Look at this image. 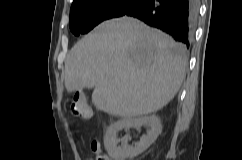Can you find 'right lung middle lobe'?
<instances>
[{
	"label": "right lung middle lobe",
	"mask_w": 242,
	"mask_h": 160,
	"mask_svg": "<svg viewBox=\"0 0 242 160\" xmlns=\"http://www.w3.org/2000/svg\"><path fill=\"white\" fill-rule=\"evenodd\" d=\"M144 0H82L71 6L70 29L78 36L93 29L100 22L123 16Z\"/></svg>",
	"instance_id": "1"
}]
</instances>
